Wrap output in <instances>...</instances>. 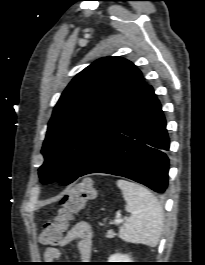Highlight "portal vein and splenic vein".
<instances>
[{"mask_svg":"<svg viewBox=\"0 0 205 265\" xmlns=\"http://www.w3.org/2000/svg\"><path fill=\"white\" fill-rule=\"evenodd\" d=\"M115 224H120L123 222V219L120 218V217H117L115 220H114Z\"/></svg>","mask_w":205,"mask_h":265,"instance_id":"obj_1","label":"portal vein and splenic vein"}]
</instances>
